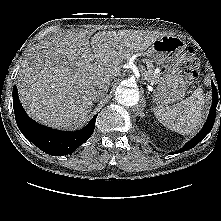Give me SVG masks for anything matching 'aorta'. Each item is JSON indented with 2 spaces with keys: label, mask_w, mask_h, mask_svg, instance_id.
Here are the masks:
<instances>
[{
  "label": "aorta",
  "mask_w": 221,
  "mask_h": 221,
  "mask_svg": "<svg viewBox=\"0 0 221 221\" xmlns=\"http://www.w3.org/2000/svg\"><path fill=\"white\" fill-rule=\"evenodd\" d=\"M139 91L135 88L118 86L115 91L116 101L123 106H134L139 101Z\"/></svg>",
  "instance_id": "aorta-1"
}]
</instances>
